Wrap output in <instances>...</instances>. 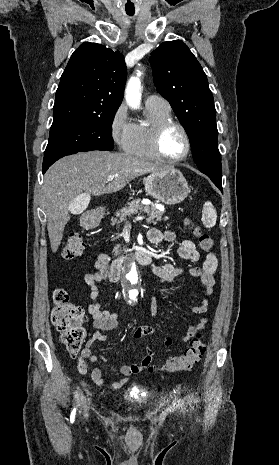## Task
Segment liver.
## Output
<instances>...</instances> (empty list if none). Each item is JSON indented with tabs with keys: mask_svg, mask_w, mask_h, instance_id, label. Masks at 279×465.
<instances>
[{
	"mask_svg": "<svg viewBox=\"0 0 279 465\" xmlns=\"http://www.w3.org/2000/svg\"><path fill=\"white\" fill-rule=\"evenodd\" d=\"M164 168L167 167L107 151L78 153L55 162L45 173L42 186V206L47 216L52 252L58 250L70 213H73L72 200L83 192L88 196H100L120 191L131 180ZM109 176L115 178L108 181Z\"/></svg>",
	"mask_w": 279,
	"mask_h": 465,
	"instance_id": "6515ba94",
	"label": "liver"
}]
</instances>
